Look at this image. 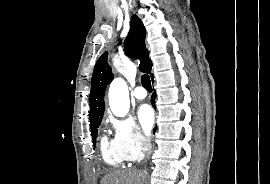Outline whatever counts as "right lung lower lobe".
I'll return each mask as SVG.
<instances>
[{"label":"right lung lower lobe","mask_w":270,"mask_h":184,"mask_svg":"<svg viewBox=\"0 0 270 184\" xmlns=\"http://www.w3.org/2000/svg\"><path fill=\"white\" fill-rule=\"evenodd\" d=\"M155 98H156V94L154 93L153 95H152V98H151V103H152V105L155 107ZM156 129V128H155ZM155 129L153 130V132H155Z\"/></svg>","instance_id":"obj_1"}]
</instances>
